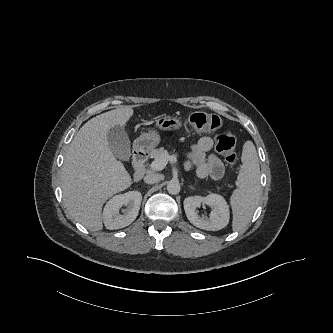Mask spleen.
<instances>
[{"label":"spleen","instance_id":"spleen-1","mask_svg":"<svg viewBox=\"0 0 333 333\" xmlns=\"http://www.w3.org/2000/svg\"><path fill=\"white\" fill-rule=\"evenodd\" d=\"M241 160L242 166L237 178L238 188L230 197L234 231L242 230L250 222L261 193L259 160L252 141L245 142Z\"/></svg>","mask_w":333,"mask_h":333}]
</instances>
